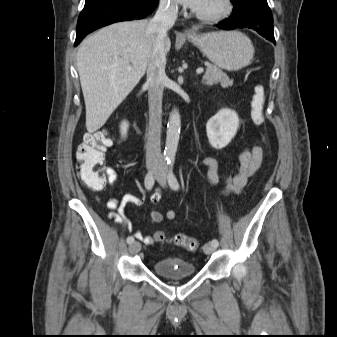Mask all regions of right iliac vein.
Masks as SVG:
<instances>
[{
	"label": "right iliac vein",
	"instance_id": "1",
	"mask_svg": "<svg viewBox=\"0 0 337 337\" xmlns=\"http://www.w3.org/2000/svg\"><path fill=\"white\" fill-rule=\"evenodd\" d=\"M154 166H155L154 163H151V164L149 165V168H150V169H153ZM140 248H141L140 243L137 242V241H135V242H133V243L130 244V246H129V252H130L131 254H136V253H138V252L140 251Z\"/></svg>",
	"mask_w": 337,
	"mask_h": 337
}]
</instances>
